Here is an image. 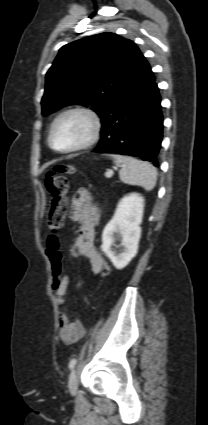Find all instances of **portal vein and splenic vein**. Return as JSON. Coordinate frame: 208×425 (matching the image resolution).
Segmentation results:
<instances>
[{"mask_svg":"<svg viewBox=\"0 0 208 425\" xmlns=\"http://www.w3.org/2000/svg\"><path fill=\"white\" fill-rule=\"evenodd\" d=\"M112 175H113V172H112V171H107V172L105 173V177H106V178H111V177H112Z\"/></svg>","mask_w":208,"mask_h":425,"instance_id":"1","label":"portal vein and splenic vein"}]
</instances>
